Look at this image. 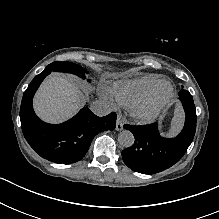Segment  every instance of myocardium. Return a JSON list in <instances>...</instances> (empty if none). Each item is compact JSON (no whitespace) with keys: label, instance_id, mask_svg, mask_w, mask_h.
I'll use <instances>...</instances> for the list:
<instances>
[{"label":"myocardium","instance_id":"f54148a6","mask_svg":"<svg viewBox=\"0 0 219 219\" xmlns=\"http://www.w3.org/2000/svg\"><path fill=\"white\" fill-rule=\"evenodd\" d=\"M162 85H167L168 90L164 95L160 96L159 89ZM173 97V85L170 82L161 81L135 105L133 116L143 121H151L158 116Z\"/></svg>","mask_w":219,"mask_h":219}]
</instances>
